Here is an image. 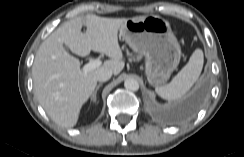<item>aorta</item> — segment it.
I'll list each match as a JSON object with an SVG mask.
<instances>
[{
	"label": "aorta",
	"instance_id": "1",
	"mask_svg": "<svg viewBox=\"0 0 244 157\" xmlns=\"http://www.w3.org/2000/svg\"><path fill=\"white\" fill-rule=\"evenodd\" d=\"M124 86L127 90L137 91L139 89V83L134 78H128L124 82Z\"/></svg>",
	"mask_w": 244,
	"mask_h": 157
}]
</instances>
